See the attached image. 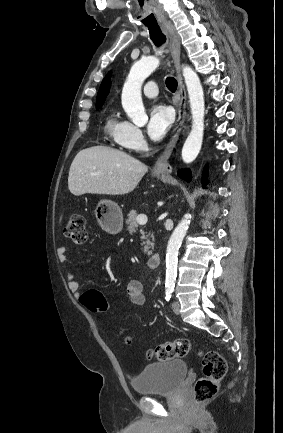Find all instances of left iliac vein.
Instances as JSON below:
<instances>
[{"label":"left iliac vein","mask_w":283,"mask_h":433,"mask_svg":"<svg viewBox=\"0 0 283 433\" xmlns=\"http://www.w3.org/2000/svg\"><path fill=\"white\" fill-rule=\"evenodd\" d=\"M172 309L176 314H180V304L178 301L173 302Z\"/></svg>","instance_id":"obj_1"}]
</instances>
